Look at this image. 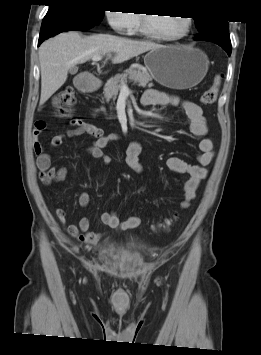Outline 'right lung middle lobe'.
Returning a JSON list of instances; mask_svg holds the SVG:
<instances>
[{"mask_svg":"<svg viewBox=\"0 0 261 355\" xmlns=\"http://www.w3.org/2000/svg\"><path fill=\"white\" fill-rule=\"evenodd\" d=\"M63 11L75 13L93 24H99L104 10L99 9L91 0H65L50 5L48 12Z\"/></svg>","mask_w":261,"mask_h":355,"instance_id":"dd1d6c3e","label":"right lung middle lobe"}]
</instances>
